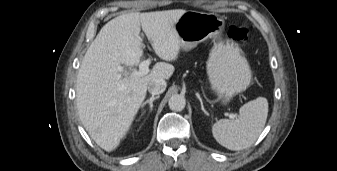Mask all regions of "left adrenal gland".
I'll use <instances>...</instances> for the list:
<instances>
[{
	"label": "left adrenal gland",
	"mask_w": 337,
	"mask_h": 171,
	"mask_svg": "<svg viewBox=\"0 0 337 171\" xmlns=\"http://www.w3.org/2000/svg\"><path fill=\"white\" fill-rule=\"evenodd\" d=\"M197 98H198V99H199V101H200V104H201V109H202V111L204 112V114H205V115L209 116L208 112H207V111L205 110V108H204V105H203L202 99H201V97H200V95H199V94H197Z\"/></svg>",
	"instance_id": "1"
}]
</instances>
